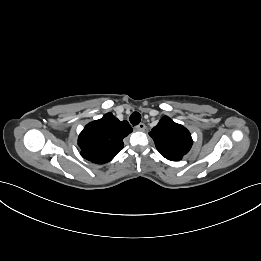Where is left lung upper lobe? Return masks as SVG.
Listing matches in <instances>:
<instances>
[{"instance_id": "5c2ea615", "label": "left lung upper lobe", "mask_w": 261, "mask_h": 261, "mask_svg": "<svg viewBox=\"0 0 261 261\" xmlns=\"http://www.w3.org/2000/svg\"><path fill=\"white\" fill-rule=\"evenodd\" d=\"M157 150L168 160L179 161L192 146L190 132L182 125L164 116L149 132Z\"/></svg>"}]
</instances>
